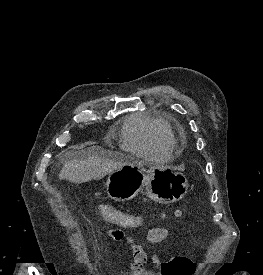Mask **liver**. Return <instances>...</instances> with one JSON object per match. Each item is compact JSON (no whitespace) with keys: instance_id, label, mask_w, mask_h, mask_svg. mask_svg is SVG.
Returning <instances> with one entry per match:
<instances>
[{"instance_id":"obj_1","label":"liver","mask_w":263,"mask_h":275,"mask_svg":"<svg viewBox=\"0 0 263 275\" xmlns=\"http://www.w3.org/2000/svg\"><path fill=\"white\" fill-rule=\"evenodd\" d=\"M93 151L94 149L83 152L80 157L67 161L60 171V179H66L75 184L99 180L131 160L130 157L121 153L97 154Z\"/></svg>"}]
</instances>
